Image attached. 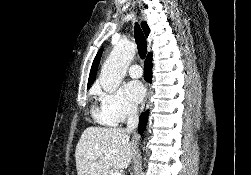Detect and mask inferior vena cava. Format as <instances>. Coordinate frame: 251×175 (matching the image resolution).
Returning a JSON list of instances; mask_svg holds the SVG:
<instances>
[{
	"instance_id": "inferior-vena-cava-1",
	"label": "inferior vena cava",
	"mask_w": 251,
	"mask_h": 175,
	"mask_svg": "<svg viewBox=\"0 0 251 175\" xmlns=\"http://www.w3.org/2000/svg\"><path fill=\"white\" fill-rule=\"evenodd\" d=\"M139 117H138V107L135 105H130L127 109V127L126 131L130 133V131H134L138 125Z\"/></svg>"
}]
</instances>
